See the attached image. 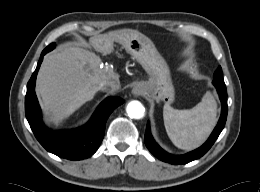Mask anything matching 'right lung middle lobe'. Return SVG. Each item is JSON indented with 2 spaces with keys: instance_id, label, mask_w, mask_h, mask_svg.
<instances>
[{
  "instance_id": "dd1d6c3e",
  "label": "right lung middle lobe",
  "mask_w": 260,
  "mask_h": 192,
  "mask_svg": "<svg viewBox=\"0 0 260 192\" xmlns=\"http://www.w3.org/2000/svg\"><path fill=\"white\" fill-rule=\"evenodd\" d=\"M55 48V43H51L50 45H48L45 49L48 51H51L52 49Z\"/></svg>"
}]
</instances>
